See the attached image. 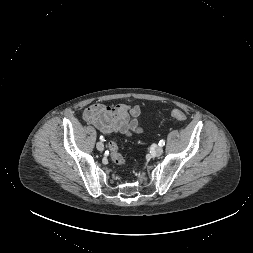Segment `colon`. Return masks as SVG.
Instances as JSON below:
<instances>
[{"mask_svg":"<svg viewBox=\"0 0 253 253\" xmlns=\"http://www.w3.org/2000/svg\"><path fill=\"white\" fill-rule=\"evenodd\" d=\"M170 115L179 121L186 120V115L178 109L171 110ZM108 149L110 151L112 161L118 166L121 167L125 166V159L121 154V152L119 151L118 145L114 141H110L108 143Z\"/></svg>","mask_w":253,"mask_h":253,"instance_id":"1","label":"colon"}]
</instances>
